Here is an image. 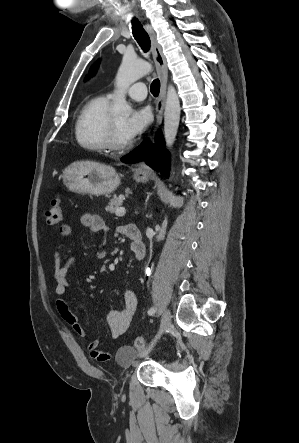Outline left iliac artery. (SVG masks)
I'll return each mask as SVG.
<instances>
[{"label": "left iliac artery", "mask_w": 299, "mask_h": 443, "mask_svg": "<svg viewBox=\"0 0 299 443\" xmlns=\"http://www.w3.org/2000/svg\"><path fill=\"white\" fill-rule=\"evenodd\" d=\"M155 312H156V309L154 307H152L148 310V315H153Z\"/></svg>", "instance_id": "44dca946"}]
</instances>
